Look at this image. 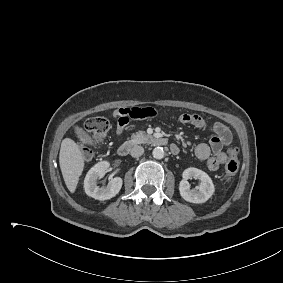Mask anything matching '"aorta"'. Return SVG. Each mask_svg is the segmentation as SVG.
<instances>
[{"instance_id": "1", "label": "aorta", "mask_w": 283, "mask_h": 283, "mask_svg": "<svg viewBox=\"0 0 283 283\" xmlns=\"http://www.w3.org/2000/svg\"><path fill=\"white\" fill-rule=\"evenodd\" d=\"M152 155L155 159H162L164 157V150L162 147H155Z\"/></svg>"}]
</instances>
